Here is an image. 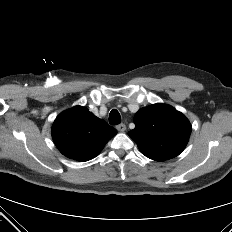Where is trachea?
I'll list each match as a JSON object with an SVG mask.
<instances>
[{
  "label": "trachea",
  "mask_w": 232,
  "mask_h": 232,
  "mask_svg": "<svg viewBox=\"0 0 232 232\" xmlns=\"http://www.w3.org/2000/svg\"><path fill=\"white\" fill-rule=\"evenodd\" d=\"M109 123L111 125H118L121 123V116L116 109L111 110L109 114Z\"/></svg>",
  "instance_id": "trachea-1"
}]
</instances>
